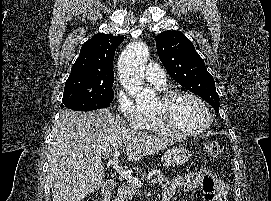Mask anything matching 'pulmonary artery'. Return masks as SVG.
<instances>
[{
    "mask_svg": "<svg viewBox=\"0 0 271 201\" xmlns=\"http://www.w3.org/2000/svg\"><path fill=\"white\" fill-rule=\"evenodd\" d=\"M146 79L154 85L159 87L165 86L166 79L165 73L163 69L156 63H149L146 72H145Z\"/></svg>",
    "mask_w": 271,
    "mask_h": 201,
    "instance_id": "pulmonary-artery-1",
    "label": "pulmonary artery"
}]
</instances>
